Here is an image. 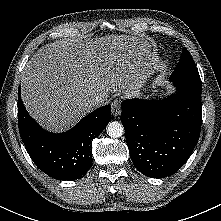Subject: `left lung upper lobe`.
I'll use <instances>...</instances> for the list:
<instances>
[{"label":"left lung upper lobe","instance_id":"left-lung-upper-lobe-1","mask_svg":"<svg viewBox=\"0 0 221 221\" xmlns=\"http://www.w3.org/2000/svg\"><path fill=\"white\" fill-rule=\"evenodd\" d=\"M171 80L197 79L200 80L198 70L194 60L186 48L183 49L180 61L174 72L171 74Z\"/></svg>","mask_w":221,"mask_h":221}]
</instances>
